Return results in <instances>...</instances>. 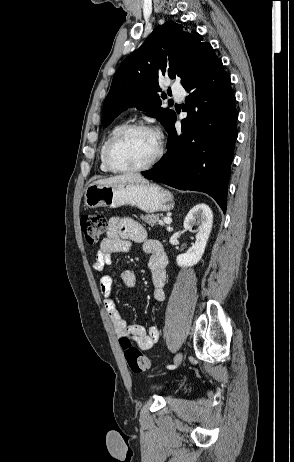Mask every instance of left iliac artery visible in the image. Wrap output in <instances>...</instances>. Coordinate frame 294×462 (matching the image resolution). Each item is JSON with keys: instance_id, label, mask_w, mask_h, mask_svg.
<instances>
[{"instance_id": "left-iliac-artery-1", "label": "left iliac artery", "mask_w": 294, "mask_h": 462, "mask_svg": "<svg viewBox=\"0 0 294 462\" xmlns=\"http://www.w3.org/2000/svg\"><path fill=\"white\" fill-rule=\"evenodd\" d=\"M167 368H168V369H174L175 366H174V365H168Z\"/></svg>"}]
</instances>
